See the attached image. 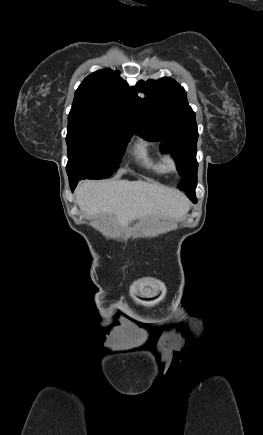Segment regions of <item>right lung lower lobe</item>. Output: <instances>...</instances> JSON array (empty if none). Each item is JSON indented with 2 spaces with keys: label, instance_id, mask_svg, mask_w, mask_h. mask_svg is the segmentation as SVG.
<instances>
[{
  "label": "right lung lower lobe",
  "instance_id": "right-lung-lower-lobe-1",
  "mask_svg": "<svg viewBox=\"0 0 263 435\" xmlns=\"http://www.w3.org/2000/svg\"><path fill=\"white\" fill-rule=\"evenodd\" d=\"M79 181H80L79 179L69 181V183H70V188H71V191H72V192L74 191V189H75V187L77 186V183H78Z\"/></svg>",
  "mask_w": 263,
  "mask_h": 435
}]
</instances>
